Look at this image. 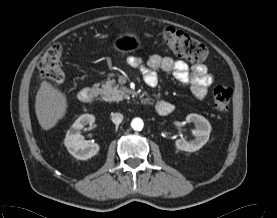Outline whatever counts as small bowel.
Here are the masks:
<instances>
[{
	"mask_svg": "<svg viewBox=\"0 0 277 218\" xmlns=\"http://www.w3.org/2000/svg\"><path fill=\"white\" fill-rule=\"evenodd\" d=\"M127 63L131 67L138 68L141 71L145 83L150 87L157 85L158 71L173 73L180 83L189 85L193 95L200 100L206 97L208 88L214 80L204 64H196L190 67L183 60H174L169 56L154 54L148 59L146 64L138 57L130 56L127 59ZM161 101L165 100H159L157 102L156 110L159 114L163 115L158 109ZM168 103L171 105L172 111V104L170 102Z\"/></svg>",
	"mask_w": 277,
	"mask_h": 218,
	"instance_id": "obj_1",
	"label": "small bowel"
}]
</instances>
